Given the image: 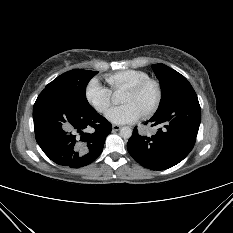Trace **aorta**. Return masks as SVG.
I'll return each mask as SVG.
<instances>
[{"mask_svg":"<svg viewBox=\"0 0 233 233\" xmlns=\"http://www.w3.org/2000/svg\"><path fill=\"white\" fill-rule=\"evenodd\" d=\"M120 136L124 139H128L132 136V129L130 127H122L120 129Z\"/></svg>","mask_w":233,"mask_h":233,"instance_id":"obj_1","label":"aorta"}]
</instances>
